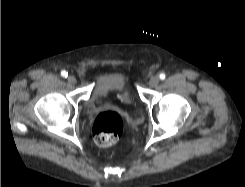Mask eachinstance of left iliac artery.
<instances>
[{
  "label": "left iliac artery",
  "instance_id": "obj_1",
  "mask_svg": "<svg viewBox=\"0 0 245 187\" xmlns=\"http://www.w3.org/2000/svg\"><path fill=\"white\" fill-rule=\"evenodd\" d=\"M159 77H160L161 80H164L166 76H165L164 73H161V74L159 75Z\"/></svg>",
  "mask_w": 245,
  "mask_h": 187
}]
</instances>
